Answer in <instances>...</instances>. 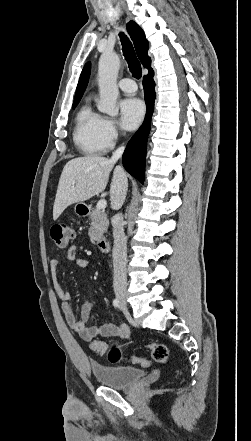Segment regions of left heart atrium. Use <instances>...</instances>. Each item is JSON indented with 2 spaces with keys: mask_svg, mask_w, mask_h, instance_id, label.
<instances>
[{
  "mask_svg": "<svg viewBox=\"0 0 251 441\" xmlns=\"http://www.w3.org/2000/svg\"><path fill=\"white\" fill-rule=\"evenodd\" d=\"M121 125L128 130H133L141 123L145 106L138 98H126L120 102Z\"/></svg>",
  "mask_w": 251,
  "mask_h": 441,
  "instance_id": "1",
  "label": "left heart atrium"
}]
</instances>
